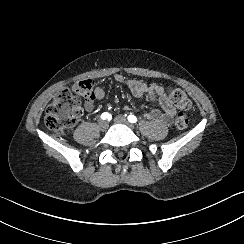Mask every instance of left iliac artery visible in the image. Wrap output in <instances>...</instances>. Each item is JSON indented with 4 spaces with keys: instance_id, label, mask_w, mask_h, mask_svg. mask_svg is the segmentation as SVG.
Instances as JSON below:
<instances>
[{
    "instance_id": "1",
    "label": "left iliac artery",
    "mask_w": 244,
    "mask_h": 244,
    "mask_svg": "<svg viewBox=\"0 0 244 244\" xmlns=\"http://www.w3.org/2000/svg\"><path fill=\"white\" fill-rule=\"evenodd\" d=\"M128 121L131 122V123H136L137 122V118H136V116L130 114L128 116Z\"/></svg>"
}]
</instances>
